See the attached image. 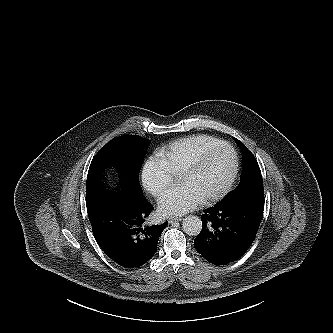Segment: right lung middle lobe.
Listing matches in <instances>:
<instances>
[{"instance_id": "dd1d6c3e", "label": "right lung middle lobe", "mask_w": 333, "mask_h": 333, "mask_svg": "<svg viewBox=\"0 0 333 333\" xmlns=\"http://www.w3.org/2000/svg\"><path fill=\"white\" fill-rule=\"evenodd\" d=\"M148 145L147 139L137 135L120 136L108 142L90 164L86 188L87 205L91 200L96 201L105 195L144 198L140 191L139 172ZM108 167H115L122 174L124 185L120 192L108 191L103 187V173Z\"/></svg>"}]
</instances>
